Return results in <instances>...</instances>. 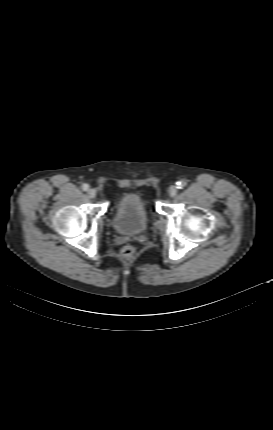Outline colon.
I'll list each match as a JSON object with an SVG mask.
<instances>
[{"label": "colon", "instance_id": "1", "mask_svg": "<svg viewBox=\"0 0 273 430\" xmlns=\"http://www.w3.org/2000/svg\"><path fill=\"white\" fill-rule=\"evenodd\" d=\"M135 249L131 245H126L121 249V256L125 259H130L133 257Z\"/></svg>", "mask_w": 273, "mask_h": 430}]
</instances>
